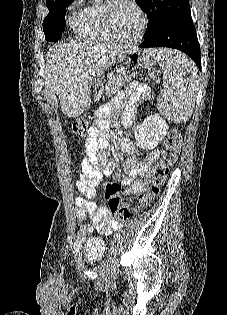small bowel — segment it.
Instances as JSON below:
<instances>
[{
    "label": "small bowel",
    "instance_id": "small-bowel-1",
    "mask_svg": "<svg viewBox=\"0 0 227 315\" xmlns=\"http://www.w3.org/2000/svg\"><path fill=\"white\" fill-rule=\"evenodd\" d=\"M120 98H129L130 101L144 100L150 97V90L146 85L132 81L119 95ZM104 111L97 113V118L91 126L85 141V154L81 161V173L75 180L76 189L83 195L75 200L77 217L80 223L87 220L86 230L90 233L99 232L111 234L122 228L109 208L98 206L92 199L95 197V188L106 176H113V180L125 186L124 194H139L146 189L150 165L159 156L158 151L149 153L146 160L139 157L138 149L131 141L123 137L119 146L133 156L126 160V170L117 167L116 162L108 157V135L105 132L106 123L103 119Z\"/></svg>",
    "mask_w": 227,
    "mask_h": 315
}]
</instances>
